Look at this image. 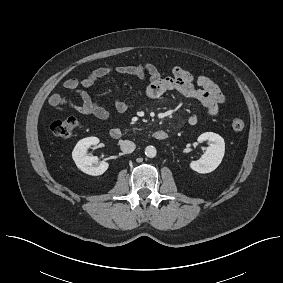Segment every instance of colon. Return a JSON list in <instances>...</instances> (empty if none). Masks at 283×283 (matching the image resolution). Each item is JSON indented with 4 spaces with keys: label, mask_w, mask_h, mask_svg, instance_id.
<instances>
[{
    "label": "colon",
    "mask_w": 283,
    "mask_h": 283,
    "mask_svg": "<svg viewBox=\"0 0 283 283\" xmlns=\"http://www.w3.org/2000/svg\"><path fill=\"white\" fill-rule=\"evenodd\" d=\"M78 122L74 117H66L60 120L55 121L52 126L51 130L56 137L67 139L70 138L76 127ZM245 127V123L242 119H234L232 122V128L235 131H241Z\"/></svg>",
    "instance_id": "1"
}]
</instances>
